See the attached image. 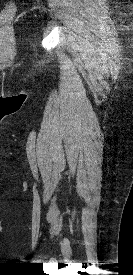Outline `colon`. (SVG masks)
I'll return each instance as SVG.
<instances>
[{"mask_svg":"<svg viewBox=\"0 0 133 275\" xmlns=\"http://www.w3.org/2000/svg\"><path fill=\"white\" fill-rule=\"evenodd\" d=\"M14 14L13 4H8L7 7L2 11V16L11 17Z\"/></svg>","mask_w":133,"mask_h":275,"instance_id":"obj_1","label":"colon"}]
</instances>
